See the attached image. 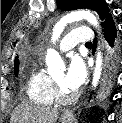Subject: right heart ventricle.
<instances>
[{
  "mask_svg": "<svg viewBox=\"0 0 122 123\" xmlns=\"http://www.w3.org/2000/svg\"><path fill=\"white\" fill-rule=\"evenodd\" d=\"M26 94L31 102L38 105H51L54 102L52 79L38 65L30 71Z\"/></svg>",
  "mask_w": 122,
  "mask_h": 123,
  "instance_id": "obj_1",
  "label": "right heart ventricle"
}]
</instances>
